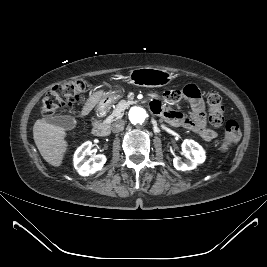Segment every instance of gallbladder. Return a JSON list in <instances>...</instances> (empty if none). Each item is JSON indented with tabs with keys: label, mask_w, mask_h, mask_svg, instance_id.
<instances>
[{
	"label": "gallbladder",
	"mask_w": 267,
	"mask_h": 267,
	"mask_svg": "<svg viewBox=\"0 0 267 267\" xmlns=\"http://www.w3.org/2000/svg\"><path fill=\"white\" fill-rule=\"evenodd\" d=\"M51 124L70 130L76 127L77 121L74 117L68 115L55 116L48 120Z\"/></svg>",
	"instance_id": "gallbladder-1"
}]
</instances>
